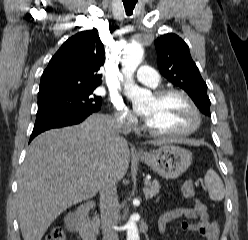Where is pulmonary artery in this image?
<instances>
[{
  "label": "pulmonary artery",
  "mask_w": 248,
  "mask_h": 240,
  "mask_svg": "<svg viewBox=\"0 0 248 240\" xmlns=\"http://www.w3.org/2000/svg\"><path fill=\"white\" fill-rule=\"evenodd\" d=\"M136 77L140 82L150 87H156L160 82L158 73L149 66L139 67Z\"/></svg>",
  "instance_id": "pulmonary-artery-1"
}]
</instances>
